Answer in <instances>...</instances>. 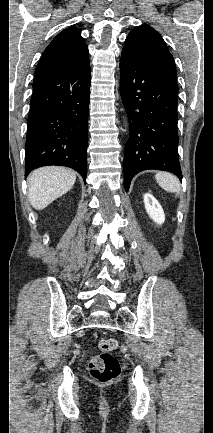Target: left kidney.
Segmentation results:
<instances>
[{
    "mask_svg": "<svg viewBox=\"0 0 213 433\" xmlns=\"http://www.w3.org/2000/svg\"><path fill=\"white\" fill-rule=\"evenodd\" d=\"M144 205H145L146 212L154 222H156L159 225L164 223L165 221L164 211L161 205L159 204V202L152 194L150 193L144 194Z\"/></svg>",
    "mask_w": 213,
    "mask_h": 433,
    "instance_id": "left-kidney-1",
    "label": "left kidney"
}]
</instances>
